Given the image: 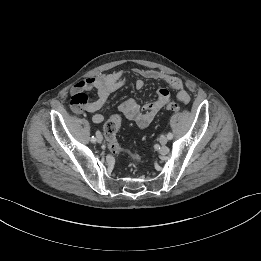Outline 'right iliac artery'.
I'll use <instances>...</instances> for the list:
<instances>
[{
    "instance_id": "1",
    "label": "right iliac artery",
    "mask_w": 261,
    "mask_h": 261,
    "mask_svg": "<svg viewBox=\"0 0 261 261\" xmlns=\"http://www.w3.org/2000/svg\"><path fill=\"white\" fill-rule=\"evenodd\" d=\"M98 133V132H97ZM96 141V138L94 136L91 137V142H95Z\"/></svg>"
}]
</instances>
